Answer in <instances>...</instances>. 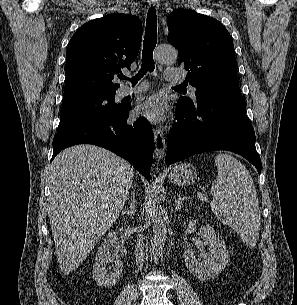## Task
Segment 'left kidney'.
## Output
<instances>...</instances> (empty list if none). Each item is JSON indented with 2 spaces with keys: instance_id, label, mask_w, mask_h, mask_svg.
Returning <instances> with one entry per match:
<instances>
[{
  "instance_id": "5707ae66",
  "label": "left kidney",
  "mask_w": 297,
  "mask_h": 305,
  "mask_svg": "<svg viewBox=\"0 0 297 305\" xmlns=\"http://www.w3.org/2000/svg\"><path fill=\"white\" fill-rule=\"evenodd\" d=\"M200 236L208 250L203 262L197 259L192 248L185 250L183 257L190 272L199 280L206 281L217 276L226 267L230 254L223 238L209 224L201 227Z\"/></svg>"
}]
</instances>
